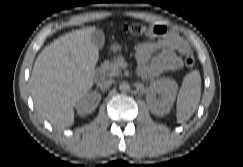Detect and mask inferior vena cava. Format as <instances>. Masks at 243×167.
<instances>
[{
    "mask_svg": "<svg viewBox=\"0 0 243 167\" xmlns=\"http://www.w3.org/2000/svg\"><path fill=\"white\" fill-rule=\"evenodd\" d=\"M113 83H114V80L109 79V80L104 81L102 85H103V87H109V86H111Z\"/></svg>",
    "mask_w": 243,
    "mask_h": 167,
    "instance_id": "602c4592",
    "label": "inferior vena cava"
}]
</instances>
